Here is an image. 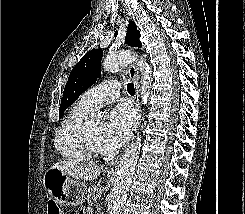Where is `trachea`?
<instances>
[{
	"mask_svg": "<svg viewBox=\"0 0 245 214\" xmlns=\"http://www.w3.org/2000/svg\"><path fill=\"white\" fill-rule=\"evenodd\" d=\"M127 91L132 96L135 94V88H134V84L133 83H128L127 84Z\"/></svg>",
	"mask_w": 245,
	"mask_h": 214,
	"instance_id": "trachea-1",
	"label": "trachea"
}]
</instances>
